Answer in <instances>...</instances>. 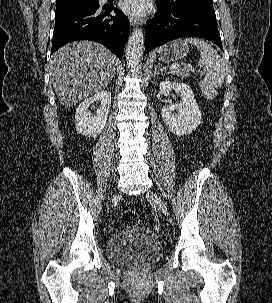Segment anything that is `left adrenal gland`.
Returning <instances> with one entry per match:
<instances>
[{
  "label": "left adrenal gland",
  "mask_w": 272,
  "mask_h": 303,
  "mask_svg": "<svg viewBox=\"0 0 272 303\" xmlns=\"http://www.w3.org/2000/svg\"><path fill=\"white\" fill-rule=\"evenodd\" d=\"M154 75L156 76V75H164V73L161 71H158L157 70V67H155V70H154Z\"/></svg>",
  "instance_id": "1"
}]
</instances>
